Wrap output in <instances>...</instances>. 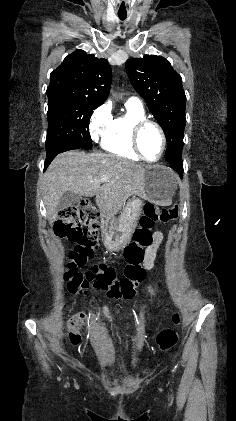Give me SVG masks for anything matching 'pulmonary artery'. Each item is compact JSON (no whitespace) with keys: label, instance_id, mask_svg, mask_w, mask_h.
Returning <instances> with one entry per match:
<instances>
[{"label":"pulmonary artery","instance_id":"1","mask_svg":"<svg viewBox=\"0 0 236 421\" xmlns=\"http://www.w3.org/2000/svg\"><path fill=\"white\" fill-rule=\"evenodd\" d=\"M129 101H135V102H139L140 103V101L137 98H130Z\"/></svg>","mask_w":236,"mask_h":421}]
</instances>
